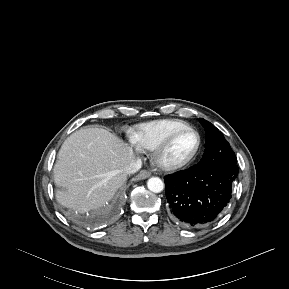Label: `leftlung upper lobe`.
<instances>
[{
  "mask_svg": "<svg viewBox=\"0 0 289 289\" xmlns=\"http://www.w3.org/2000/svg\"><path fill=\"white\" fill-rule=\"evenodd\" d=\"M206 132L205 151L198 163L201 167L236 164L235 153L221 131L205 119H199Z\"/></svg>",
  "mask_w": 289,
  "mask_h": 289,
  "instance_id": "5c2ea615",
  "label": "left lung upper lobe"
}]
</instances>
